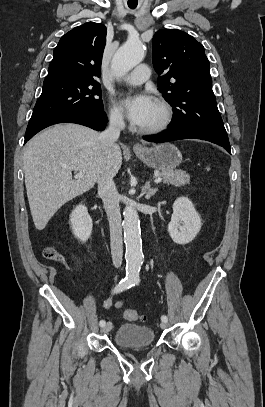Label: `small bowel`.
<instances>
[{"mask_svg":"<svg viewBox=\"0 0 265 407\" xmlns=\"http://www.w3.org/2000/svg\"><path fill=\"white\" fill-rule=\"evenodd\" d=\"M116 287H117V286H116ZM115 289H116V288H113V289H112V294L104 301L103 307H104L105 309H109V308H111L113 305H114L116 308L122 307V305H123V303H124L123 300L117 301V302H115V303H114V301H113V293H115Z\"/></svg>","mask_w":265,"mask_h":407,"instance_id":"1","label":"small bowel"}]
</instances>
